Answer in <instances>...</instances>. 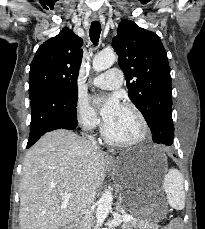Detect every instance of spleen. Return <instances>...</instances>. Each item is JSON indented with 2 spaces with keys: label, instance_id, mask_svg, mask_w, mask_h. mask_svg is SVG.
<instances>
[{
  "label": "spleen",
  "instance_id": "1",
  "mask_svg": "<svg viewBox=\"0 0 205 229\" xmlns=\"http://www.w3.org/2000/svg\"><path fill=\"white\" fill-rule=\"evenodd\" d=\"M163 188L167 194L168 204L176 209L185 207L184 179L182 174L175 168L168 170L164 177Z\"/></svg>",
  "mask_w": 205,
  "mask_h": 229
}]
</instances>
